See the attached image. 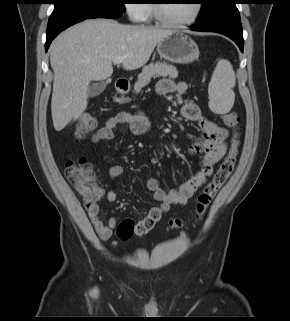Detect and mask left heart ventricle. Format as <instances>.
Wrapping results in <instances>:
<instances>
[{
  "label": "left heart ventricle",
  "instance_id": "obj_1",
  "mask_svg": "<svg viewBox=\"0 0 290 321\" xmlns=\"http://www.w3.org/2000/svg\"><path fill=\"white\" fill-rule=\"evenodd\" d=\"M164 15L172 21H184L195 11L194 0H165L162 4Z\"/></svg>",
  "mask_w": 290,
  "mask_h": 321
}]
</instances>
